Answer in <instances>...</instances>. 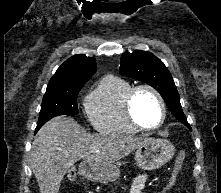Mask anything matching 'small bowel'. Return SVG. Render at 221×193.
<instances>
[{
	"label": "small bowel",
	"mask_w": 221,
	"mask_h": 193,
	"mask_svg": "<svg viewBox=\"0 0 221 193\" xmlns=\"http://www.w3.org/2000/svg\"><path fill=\"white\" fill-rule=\"evenodd\" d=\"M147 178H148L147 174L138 175L134 180L131 193H142Z\"/></svg>",
	"instance_id": "c3829d8e"
}]
</instances>
